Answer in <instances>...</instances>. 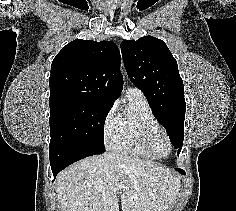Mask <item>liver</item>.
<instances>
[{
    "label": "liver",
    "mask_w": 236,
    "mask_h": 211,
    "mask_svg": "<svg viewBox=\"0 0 236 211\" xmlns=\"http://www.w3.org/2000/svg\"><path fill=\"white\" fill-rule=\"evenodd\" d=\"M179 188L165 166L115 153L81 160L55 180L62 211H119V191L122 211H168Z\"/></svg>",
    "instance_id": "1"
}]
</instances>
